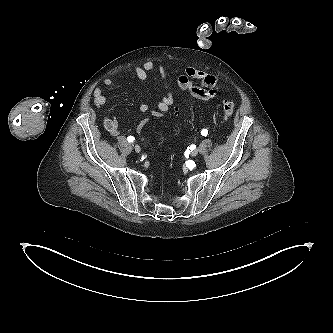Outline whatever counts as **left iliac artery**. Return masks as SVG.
<instances>
[{
  "mask_svg": "<svg viewBox=\"0 0 333 333\" xmlns=\"http://www.w3.org/2000/svg\"><path fill=\"white\" fill-rule=\"evenodd\" d=\"M201 135L206 137L208 135V130L207 129H203L201 131Z\"/></svg>",
  "mask_w": 333,
  "mask_h": 333,
  "instance_id": "left-iliac-artery-1",
  "label": "left iliac artery"
}]
</instances>
